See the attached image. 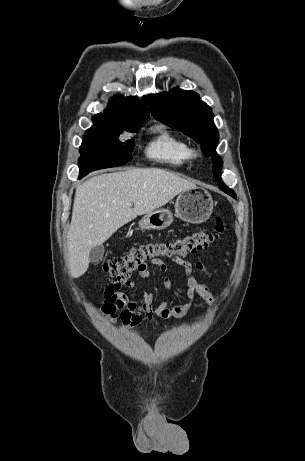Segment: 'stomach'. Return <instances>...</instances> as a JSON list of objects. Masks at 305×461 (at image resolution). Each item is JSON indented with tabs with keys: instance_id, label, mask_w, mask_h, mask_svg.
I'll return each instance as SVG.
<instances>
[{
	"instance_id": "obj_1",
	"label": "stomach",
	"mask_w": 305,
	"mask_h": 461,
	"mask_svg": "<svg viewBox=\"0 0 305 461\" xmlns=\"http://www.w3.org/2000/svg\"><path fill=\"white\" fill-rule=\"evenodd\" d=\"M213 211L211 194L203 188H192L179 193L175 202V216L181 220L199 224L209 219ZM173 222V214L165 208L146 214L139 221L141 230H163Z\"/></svg>"
}]
</instances>
